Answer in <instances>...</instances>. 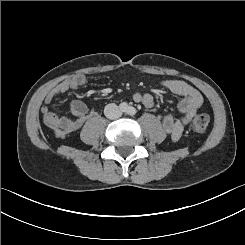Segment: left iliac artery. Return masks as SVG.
Segmentation results:
<instances>
[{
	"instance_id": "obj_1",
	"label": "left iliac artery",
	"mask_w": 245,
	"mask_h": 245,
	"mask_svg": "<svg viewBox=\"0 0 245 245\" xmlns=\"http://www.w3.org/2000/svg\"><path fill=\"white\" fill-rule=\"evenodd\" d=\"M136 113H137V110L134 107H132V106L128 107V109H127V114L128 115L133 116Z\"/></svg>"
}]
</instances>
